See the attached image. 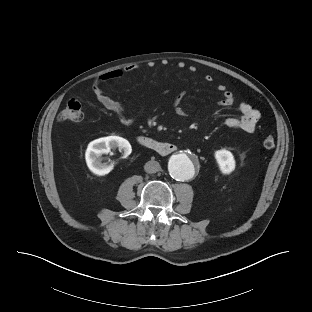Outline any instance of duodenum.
Segmentation results:
<instances>
[{
	"label": "duodenum",
	"mask_w": 312,
	"mask_h": 312,
	"mask_svg": "<svg viewBox=\"0 0 312 312\" xmlns=\"http://www.w3.org/2000/svg\"><path fill=\"white\" fill-rule=\"evenodd\" d=\"M137 143L153 152L161 155H167L176 151L177 146L173 143L162 142L149 136L137 137Z\"/></svg>",
	"instance_id": "1"
}]
</instances>
